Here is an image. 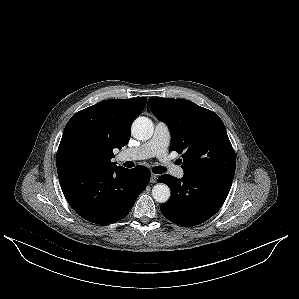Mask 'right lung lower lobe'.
Returning <instances> with one entry per match:
<instances>
[{
    "label": "right lung lower lobe",
    "instance_id": "obj_1",
    "mask_svg": "<svg viewBox=\"0 0 299 299\" xmlns=\"http://www.w3.org/2000/svg\"><path fill=\"white\" fill-rule=\"evenodd\" d=\"M58 177L70 206L85 220L107 224L124 218L146 188L150 171L144 166L62 170Z\"/></svg>",
    "mask_w": 299,
    "mask_h": 299
}]
</instances>
